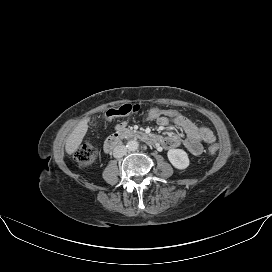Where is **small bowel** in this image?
<instances>
[{
	"label": "small bowel",
	"mask_w": 272,
	"mask_h": 272,
	"mask_svg": "<svg viewBox=\"0 0 272 272\" xmlns=\"http://www.w3.org/2000/svg\"><path fill=\"white\" fill-rule=\"evenodd\" d=\"M157 123L160 126L173 124L182 129L185 133V138H181L174 133L166 137H161V143L167 149H174L183 145L192 155H200L203 151L204 143H213L215 141V135L209 128L197 126L185 116L174 119L160 118L157 120ZM123 126L124 124H120L119 128Z\"/></svg>",
	"instance_id": "1"
}]
</instances>
